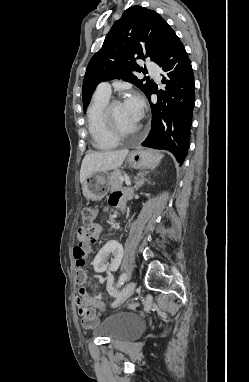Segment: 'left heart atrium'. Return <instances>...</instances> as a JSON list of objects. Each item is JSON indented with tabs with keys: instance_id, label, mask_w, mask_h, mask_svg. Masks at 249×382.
<instances>
[{
	"instance_id": "left-heart-atrium-1",
	"label": "left heart atrium",
	"mask_w": 249,
	"mask_h": 382,
	"mask_svg": "<svg viewBox=\"0 0 249 382\" xmlns=\"http://www.w3.org/2000/svg\"><path fill=\"white\" fill-rule=\"evenodd\" d=\"M125 107L131 112L135 119H141L144 109L142 98L138 94H131L124 102Z\"/></svg>"
}]
</instances>
